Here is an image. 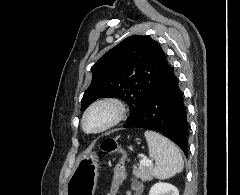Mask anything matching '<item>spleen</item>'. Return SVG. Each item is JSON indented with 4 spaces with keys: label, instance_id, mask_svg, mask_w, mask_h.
I'll return each instance as SVG.
<instances>
[{
    "label": "spleen",
    "instance_id": "obj_1",
    "mask_svg": "<svg viewBox=\"0 0 240 195\" xmlns=\"http://www.w3.org/2000/svg\"><path fill=\"white\" fill-rule=\"evenodd\" d=\"M144 135L147 139L149 155L155 159L154 177L167 179L175 173H180L184 167V159L177 145L168 137L151 129H147Z\"/></svg>",
    "mask_w": 240,
    "mask_h": 195
}]
</instances>
